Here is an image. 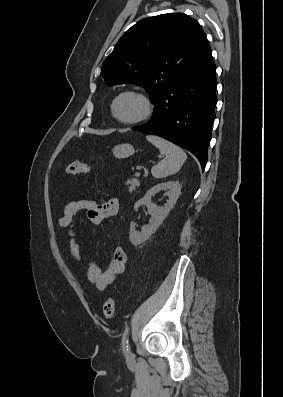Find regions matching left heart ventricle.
Segmentation results:
<instances>
[{
	"label": "left heart ventricle",
	"mask_w": 283,
	"mask_h": 397,
	"mask_svg": "<svg viewBox=\"0 0 283 397\" xmlns=\"http://www.w3.org/2000/svg\"><path fill=\"white\" fill-rule=\"evenodd\" d=\"M115 110L116 114L121 119H134L141 115L143 104L139 98L132 95H126L117 101Z\"/></svg>",
	"instance_id": "left-heart-ventricle-1"
}]
</instances>
